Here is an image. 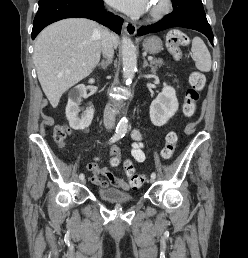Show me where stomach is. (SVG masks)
<instances>
[{
    "mask_svg": "<svg viewBox=\"0 0 248 258\" xmlns=\"http://www.w3.org/2000/svg\"><path fill=\"white\" fill-rule=\"evenodd\" d=\"M143 49L150 54H157L162 50V41L157 36L146 38L142 43Z\"/></svg>",
    "mask_w": 248,
    "mask_h": 258,
    "instance_id": "1",
    "label": "stomach"
}]
</instances>
